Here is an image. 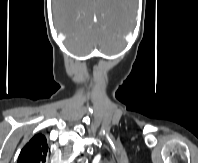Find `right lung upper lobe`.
Listing matches in <instances>:
<instances>
[{
	"label": "right lung upper lobe",
	"mask_w": 198,
	"mask_h": 163,
	"mask_svg": "<svg viewBox=\"0 0 198 163\" xmlns=\"http://www.w3.org/2000/svg\"><path fill=\"white\" fill-rule=\"evenodd\" d=\"M47 152L46 137L37 134L21 150L17 163H45Z\"/></svg>",
	"instance_id": "right-lung-upper-lobe-1"
}]
</instances>
